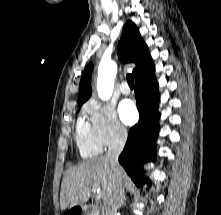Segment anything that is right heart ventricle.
I'll return each instance as SVG.
<instances>
[{
	"label": "right heart ventricle",
	"mask_w": 221,
	"mask_h": 215,
	"mask_svg": "<svg viewBox=\"0 0 221 215\" xmlns=\"http://www.w3.org/2000/svg\"><path fill=\"white\" fill-rule=\"evenodd\" d=\"M76 143L83 157H92L101 152V145L96 140L91 126L80 119L76 129Z\"/></svg>",
	"instance_id": "right-heart-ventricle-1"
}]
</instances>
